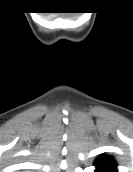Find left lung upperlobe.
I'll list each match as a JSON object with an SVG mask.
<instances>
[{"instance_id":"5c2ea615","label":"left lung upper lobe","mask_w":133,"mask_h":172,"mask_svg":"<svg viewBox=\"0 0 133 172\" xmlns=\"http://www.w3.org/2000/svg\"><path fill=\"white\" fill-rule=\"evenodd\" d=\"M95 172H118V164L110 156H100L94 162Z\"/></svg>"}]
</instances>
